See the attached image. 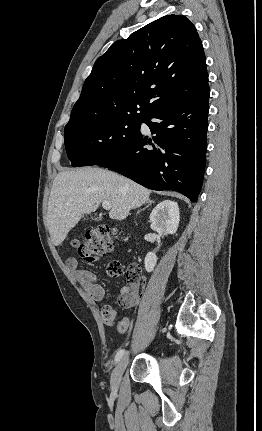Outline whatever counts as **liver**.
I'll use <instances>...</instances> for the list:
<instances>
[{"label": "liver", "instance_id": "liver-1", "mask_svg": "<svg viewBox=\"0 0 262 431\" xmlns=\"http://www.w3.org/2000/svg\"><path fill=\"white\" fill-rule=\"evenodd\" d=\"M149 196L145 187L107 169L85 167L59 172L48 201L51 240L60 245L82 215L94 212L101 202H110L109 217L121 221L130 210L148 202Z\"/></svg>", "mask_w": 262, "mask_h": 431}]
</instances>
